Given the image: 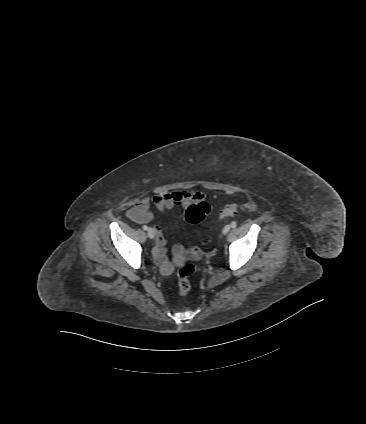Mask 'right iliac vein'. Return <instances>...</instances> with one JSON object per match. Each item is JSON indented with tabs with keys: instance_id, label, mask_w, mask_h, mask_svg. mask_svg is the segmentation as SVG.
<instances>
[{
	"instance_id": "obj_1",
	"label": "right iliac vein",
	"mask_w": 366,
	"mask_h": 424,
	"mask_svg": "<svg viewBox=\"0 0 366 424\" xmlns=\"http://www.w3.org/2000/svg\"><path fill=\"white\" fill-rule=\"evenodd\" d=\"M147 234H148V237H149L150 239H153V238L155 237V232H154V230H153L152 228H149V229L147 230Z\"/></svg>"
}]
</instances>
